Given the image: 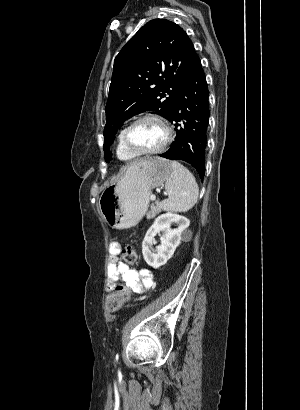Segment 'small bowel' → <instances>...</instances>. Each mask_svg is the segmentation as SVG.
<instances>
[{
  "label": "small bowel",
  "instance_id": "c3829d8e",
  "mask_svg": "<svg viewBox=\"0 0 300 410\" xmlns=\"http://www.w3.org/2000/svg\"><path fill=\"white\" fill-rule=\"evenodd\" d=\"M121 251L120 243L110 245V255L107 263L108 278L106 288L111 289L118 281H123L134 293H144L153 285V276L147 269L135 270L121 262L118 255Z\"/></svg>",
  "mask_w": 300,
  "mask_h": 410
}]
</instances>
